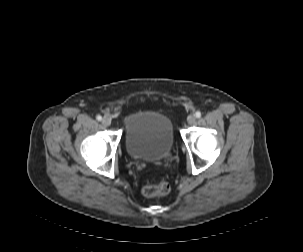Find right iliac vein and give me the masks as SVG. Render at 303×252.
<instances>
[{"label":"right iliac vein","mask_w":303,"mask_h":252,"mask_svg":"<svg viewBox=\"0 0 303 252\" xmlns=\"http://www.w3.org/2000/svg\"><path fill=\"white\" fill-rule=\"evenodd\" d=\"M102 124L104 126H110L111 125V119L109 117H104L102 120H101Z\"/></svg>","instance_id":"1"}]
</instances>
